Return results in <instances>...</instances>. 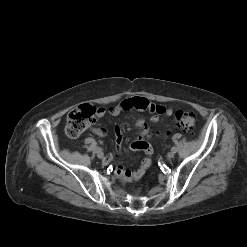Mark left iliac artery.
Returning <instances> with one entry per match:
<instances>
[{"mask_svg": "<svg viewBox=\"0 0 247 247\" xmlns=\"http://www.w3.org/2000/svg\"><path fill=\"white\" fill-rule=\"evenodd\" d=\"M171 151H173V152H177V148L175 147V146H173L172 148H171Z\"/></svg>", "mask_w": 247, "mask_h": 247, "instance_id": "obj_1", "label": "left iliac artery"}]
</instances>
